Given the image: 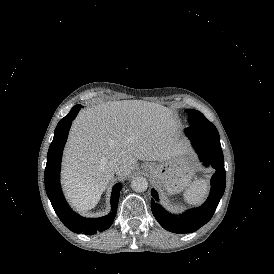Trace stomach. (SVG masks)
Returning <instances> with one entry per match:
<instances>
[{
  "label": "stomach",
  "mask_w": 274,
  "mask_h": 274,
  "mask_svg": "<svg viewBox=\"0 0 274 274\" xmlns=\"http://www.w3.org/2000/svg\"><path fill=\"white\" fill-rule=\"evenodd\" d=\"M185 153L186 150L180 142L174 155L161 159L159 163H147L144 167L152 181L169 195L181 192L189 185L196 172L195 166L184 156Z\"/></svg>",
  "instance_id": "obj_1"
}]
</instances>
